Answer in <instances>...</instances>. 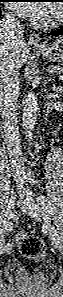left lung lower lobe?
I'll return each mask as SVG.
<instances>
[{"label": "left lung lower lobe", "instance_id": "left-lung-lower-lobe-1", "mask_svg": "<svg viewBox=\"0 0 63 297\" xmlns=\"http://www.w3.org/2000/svg\"><path fill=\"white\" fill-rule=\"evenodd\" d=\"M51 35L52 36H60V35H63V27L59 30H56V31H52L51 32Z\"/></svg>", "mask_w": 63, "mask_h": 297}]
</instances>
